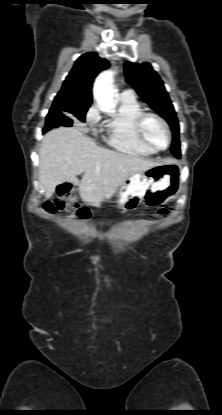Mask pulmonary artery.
Masks as SVG:
<instances>
[{"instance_id":"obj_1","label":"pulmonary artery","mask_w":222,"mask_h":415,"mask_svg":"<svg viewBox=\"0 0 222 415\" xmlns=\"http://www.w3.org/2000/svg\"><path fill=\"white\" fill-rule=\"evenodd\" d=\"M121 96L127 97V98H134L133 92L131 90H129V89L124 90L121 93Z\"/></svg>"}]
</instances>
